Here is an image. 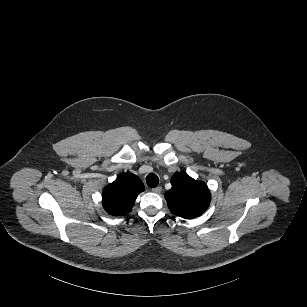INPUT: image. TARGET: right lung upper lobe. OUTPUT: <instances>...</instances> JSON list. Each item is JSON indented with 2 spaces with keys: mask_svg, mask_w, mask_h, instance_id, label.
Wrapping results in <instances>:
<instances>
[{
  "mask_svg": "<svg viewBox=\"0 0 307 307\" xmlns=\"http://www.w3.org/2000/svg\"><path fill=\"white\" fill-rule=\"evenodd\" d=\"M143 190L144 185L136 175L123 173L104 188L103 207L113 216L125 215L131 211L138 194Z\"/></svg>",
  "mask_w": 307,
  "mask_h": 307,
  "instance_id": "1",
  "label": "right lung upper lobe"
}]
</instances>
